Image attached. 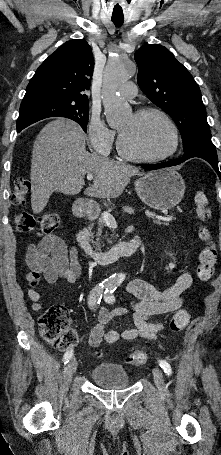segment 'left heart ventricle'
I'll return each mask as SVG.
<instances>
[{
    "instance_id": "1",
    "label": "left heart ventricle",
    "mask_w": 221,
    "mask_h": 455,
    "mask_svg": "<svg viewBox=\"0 0 221 455\" xmlns=\"http://www.w3.org/2000/svg\"><path fill=\"white\" fill-rule=\"evenodd\" d=\"M118 130L126 150L136 155H159L168 151L172 145L171 131L157 115H130L122 121Z\"/></svg>"
}]
</instances>
